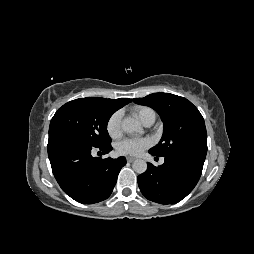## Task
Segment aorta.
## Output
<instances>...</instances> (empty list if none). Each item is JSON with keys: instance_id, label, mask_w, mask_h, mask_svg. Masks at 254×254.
I'll return each mask as SVG.
<instances>
[{"instance_id": "aorta-1", "label": "aorta", "mask_w": 254, "mask_h": 254, "mask_svg": "<svg viewBox=\"0 0 254 254\" xmlns=\"http://www.w3.org/2000/svg\"><path fill=\"white\" fill-rule=\"evenodd\" d=\"M122 130L127 134H142V128L139 122L133 118H126L121 124ZM133 170L142 174L147 170V163L143 159H136L132 164Z\"/></svg>"}]
</instances>
